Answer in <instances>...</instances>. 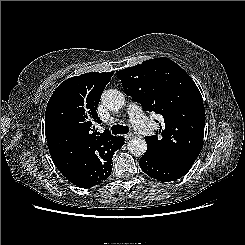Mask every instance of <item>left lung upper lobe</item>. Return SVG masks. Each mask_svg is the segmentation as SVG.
Segmentation results:
<instances>
[{
    "mask_svg": "<svg viewBox=\"0 0 245 245\" xmlns=\"http://www.w3.org/2000/svg\"><path fill=\"white\" fill-rule=\"evenodd\" d=\"M116 75L125 92L145 111L163 116V126L156 131L159 136L145 138V154L193 165L203 145L205 109L192 78L166 57L144 61Z\"/></svg>",
    "mask_w": 245,
    "mask_h": 245,
    "instance_id": "1",
    "label": "left lung upper lobe"
}]
</instances>
